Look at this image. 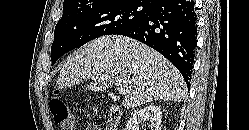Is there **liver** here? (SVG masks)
Segmentation results:
<instances>
[{"mask_svg": "<svg viewBox=\"0 0 249 130\" xmlns=\"http://www.w3.org/2000/svg\"><path fill=\"white\" fill-rule=\"evenodd\" d=\"M92 79L88 89L126 87L122 105L136 108L153 100L181 101L186 85L180 72L154 49L131 38L102 36L70 55L60 71L59 88Z\"/></svg>", "mask_w": 249, "mask_h": 130, "instance_id": "1", "label": "liver"}]
</instances>
